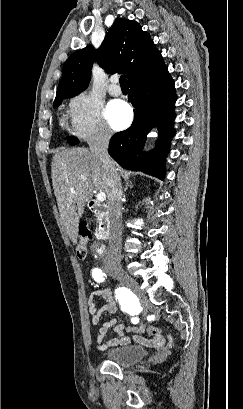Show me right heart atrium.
<instances>
[{
	"instance_id": "right-heart-atrium-1",
	"label": "right heart atrium",
	"mask_w": 243,
	"mask_h": 409,
	"mask_svg": "<svg viewBox=\"0 0 243 409\" xmlns=\"http://www.w3.org/2000/svg\"><path fill=\"white\" fill-rule=\"evenodd\" d=\"M70 132L85 141H108L112 132L106 123L102 106L86 91L75 94L69 103Z\"/></svg>"
}]
</instances>
